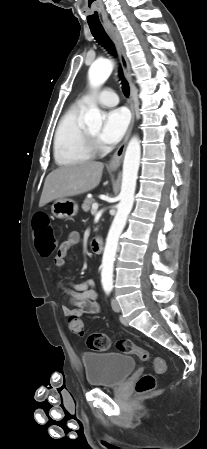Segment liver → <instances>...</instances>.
Segmentation results:
<instances>
[{"mask_svg": "<svg viewBox=\"0 0 207 449\" xmlns=\"http://www.w3.org/2000/svg\"><path fill=\"white\" fill-rule=\"evenodd\" d=\"M103 168L104 164L101 162H84L53 170L46 177L39 207L55 199L80 195L96 188Z\"/></svg>", "mask_w": 207, "mask_h": 449, "instance_id": "obj_1", "label": "liver"}]
</instances>
